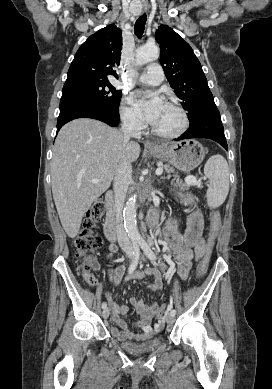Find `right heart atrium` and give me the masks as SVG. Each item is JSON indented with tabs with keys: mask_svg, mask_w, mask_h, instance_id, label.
Here are the masks:
<instances>
[{
	"mask_svg": "<svg viewBox=\"0 0 272 389\" xmlns=\"http://www.w3.org/2000/svg\"><path fill=\"white\" fill-rule=\"evenodd\" d=\"M120 114L123 122L130 128L139 130L144 126L141 112L132 104L129 97L124 96L121 101Z\"/></svg>",
	"mask_w": 272,
	"mask_h": 389,
	"instance_id": "d8ad5b80",
	"label": "right heart atrium"
}]
</instances>
